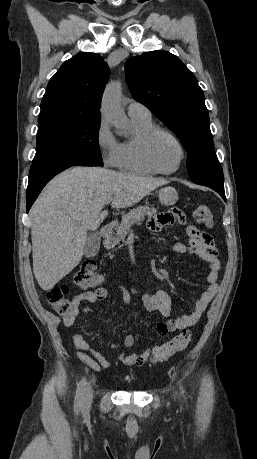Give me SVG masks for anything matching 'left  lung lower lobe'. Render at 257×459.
<instances>
[{
    "label": "left lung lower lobe",
    "mask_w": 257,
    "mask_h": 459,
    "mask_svg": "<svg viewBox=\"0 0 257 459\" xmlns=\"http://www.w3.org/2000/svg\"><path fill=\"white\" fill-rule=\"evenodd\" d=\"M200 185H203V184H200ZM205 186H208L211 189H213L216 192H218L222 196V198L226 201L225 192H224V186H211V185H205Z\"/></svg>",
    "instance_id": "left-lung-lower-lobe-1"
}]
</instances>
